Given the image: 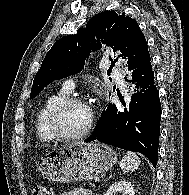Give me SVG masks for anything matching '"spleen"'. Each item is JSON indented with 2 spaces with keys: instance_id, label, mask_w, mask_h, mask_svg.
Segmentation results:
<instances>
[{
  "instance_id": "1",
  "label": "spleen",
  "mask_w": 189,
  "mask_h": 195,
  "mask_svg": "<svg viewBox=\"0 0 189 195\" xmlns=\"http://www.w3.org/2000/svg\"><path fill=\"white\" fill-rule=\"evenodd\" d=\"M140 162V158L135 153L126 152L120 162V168L125 172L134 171L138 168Z\"/></svg>"
}]
</instances>
